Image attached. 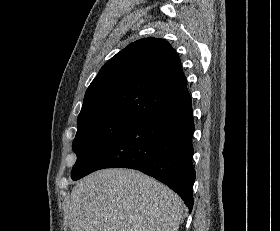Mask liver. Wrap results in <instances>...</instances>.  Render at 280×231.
Segmentation results:
<instances>
[{
	"label": "liver",
	"mask_w": 280,
	"mask_h": 231,
	"mask_svg": "<svg viewBox=\"0 0 280 231\" xmlns=\"http://www.w3.org/2000/svg\"><path fill=\"white\" fill-rule=\"evenodd\" d=\"M67 201L72 231H177L183 201L137 169H99L75 181Z\"/></svg>",
	"instance_id": "obj_1"
}]
</instances>
